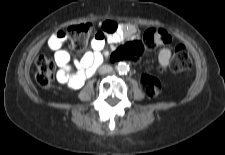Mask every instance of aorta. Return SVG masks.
Listing matches in <instances>:
<instances>
[{"mask_svg": "<svg viewBox=\"0 0 225 155\" xmlns=\"http://www.w3.org/2000/svg\"><path fill=\"white\" fill-rule=\"evenodd\" d=\"M116 69L119 74H126L129 71V65L126 62H119Z\"/></svg>", "mask_w": 225, "mask_h": 155, "instance_id": "762f6f07", "label": "aorta"}]
</instances>
